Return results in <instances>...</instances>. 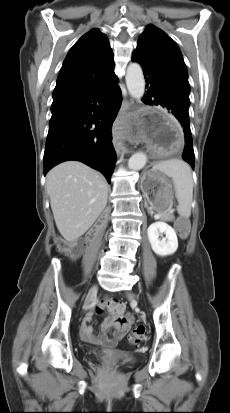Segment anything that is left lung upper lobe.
<instances>
[{"mask_svg":"<svg viewBox=\"0 0 230 413\" xmlns=\"http://www.w3.org/2000/svg\"><path fill=\"white\" fill-rule=\"evenodd\" d=\"M132 59L157 71L173 89L189 100L186 65L179 47L164 31L148 25L139 36Z\"/></svg>","mask_w":230,"mask_h":413,"instance_id":"5c2ea615","label":"left lung upper lobe"}]
</instances>
